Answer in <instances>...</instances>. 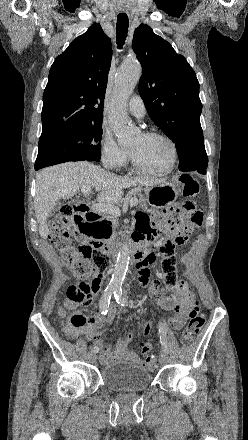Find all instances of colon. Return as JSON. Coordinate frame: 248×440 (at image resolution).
I'll list each match as a JSON object with an SVG mask.
<instances>
[{
	"label": "colon",
	"instance_id": "obj_1",
	"mask_svg": "<svg viewBox=\"0 0 248 440\" xmlns=\"http://www.w3.org/2000/svg\"><path fill=\"white\" fill-rule=\"evenodd\" d=\"M183 185V195L187 200L182 205V211L191 227H199L203 222V214L197 210L195 203L190 198L199 192V184L189 175H181L179 178ZM84 227V216L80 207L64 205L51 223L50 238L56 248L65 259L67 267L74 273L78 280L70 285L65 293L63 306L73 309L76 307H88L93 301L97 289V281L90 278L100 267H108V257L99 247L88 242L78 245L73 243V237ZM187 239V233H174L170 238L160 241L159 248L162 257H176L175 247L183 244ZM187 327L181 334L184 343H191L202 330L205 317L197 310H191L187 316ZM70 322L75 327L84 326L88 323L82 313H74ZM153 330L150 323L143 327L144 335H149ZM142 355L145 365L154 368L157 365L156 356L150 343L142 345Z\"/></svg>",
	"mask_w": 248,
	"mask_h": 440
}]
</instances>
